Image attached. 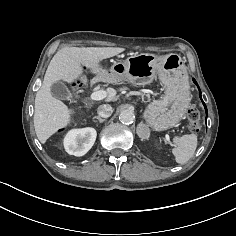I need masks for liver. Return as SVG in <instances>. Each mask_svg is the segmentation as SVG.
Masks as SVG:
<instances>
[{"label":"liver","mask_w":236,"mask_h":236,"mask_svg":"<svg viewBox=\"0 0 236 236\" xmlns=\"http://www.w3.org/2000/svg\"><path fill=\"white\" fill-rule=\"evenodd\" d=\"M121 47H68L60 49L46 70L43 84L36 93L34 128L38 140L44 144L57 130L72 122L70 109L51 94V85L63 80L72 83L83 74V66L90 69L96 78L105 82H117L100 61L123 52ZM106 102L113 101L114 90L106 91Z\"/></svg>","instance_id":"obj_1"}]
</instances>
